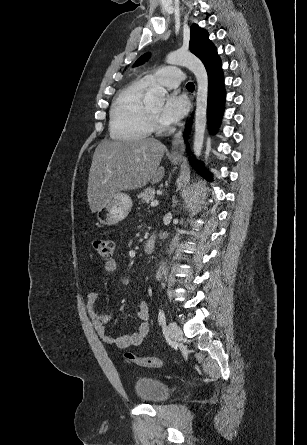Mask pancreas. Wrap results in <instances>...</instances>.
<instances>
[{
    "mask_svg": "<svg viewBox=\"0 0 307 445\" xmlns=\"http://www.w3.org/2000/svg\"><path fill=\"white\" fill-rule=\"evenodd\" d=\"M155 190L152 186H148V188H143L142 192H139L138 198L142 200V202H149L154 198Z\"/></svg>",
    "mask_w": 307,
    "mask_h": 445,
    "instance_id": "cf45deb5",
    "label": "pancreas"
}]
</instances>
